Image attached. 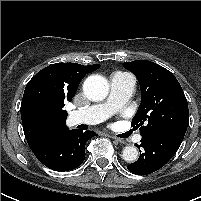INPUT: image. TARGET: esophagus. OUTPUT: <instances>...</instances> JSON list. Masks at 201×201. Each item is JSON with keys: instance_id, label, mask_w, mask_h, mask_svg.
Segmentation results:
<instances>
[{"instance_id": "1", "label": "esophagus", "mask_w": 201, "mask_h": 201, "mask_svg": "<svg viewBox=\"0 0 201 201\" xmlns=\"http://www.w3.org/2000/svg\"><path fill=\"white\" fill-rule=\"evenodd\" d=\"M113 140H115L116 142L120 143V144H126V141L122 138H118V137H111Z\"/></svg>"}]
</instances>
